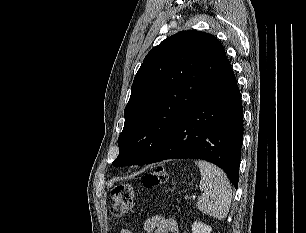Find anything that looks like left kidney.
<instances>
[{
	"mask_svg": "<svg viewBox=\"0 0 306 233\" xmlns=\"http://www.w3.org/2000/svg\"><path fill=\"white\" fill-rule=\"evenodd\" d=\"M211 227L202 223L195 221L192 225V233H211Z\"/></svg>",
	"mask_w": 306,
	"mask_h": 233,
	"instance_id": "left-kidney-1",
	"label": "left kidney"
}]
</instances>
